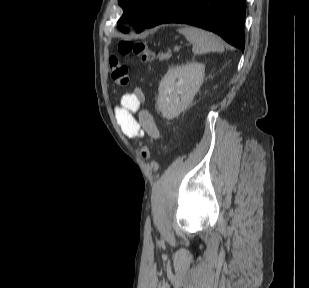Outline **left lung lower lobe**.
<instances>
[{"label": "left lung lower lobe", "mask_w": 309, "mask_h": 288, "mask_svg": "<svg viewBox=\"0 0 309 288\" xmlns=\"http://www.w3.org/2000/svg\"><path fill=\"white\" fill-rule=\"evenodd\" d=\"M245 10L246 0H167L145 28L163 23L191 24L217 33L244 51Z\"/></svg>", "instance_id": "0a47b994"}]
</instances>
